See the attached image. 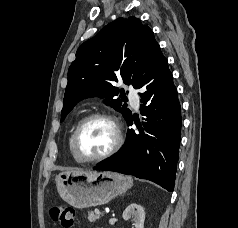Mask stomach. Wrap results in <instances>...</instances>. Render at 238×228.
I'll return each mask as SVG.
<instances>
[{
    "mask_svg": "<svg viewBox=\"0 0 238 228\" xmlns=\"http://www.w3.org/2000/svg\"><path fill=\"white\" fill-rule=\"evenodd\" d=\"M55 181L60 197L79 209L106 204L133 185L131 177L109 171H65Z\"/></svg>",
    "mask_w": 238,
    "mask_h": 228,
    "instance_id": "0dacf381",
    "label": "stomach"
}]
</instances>
